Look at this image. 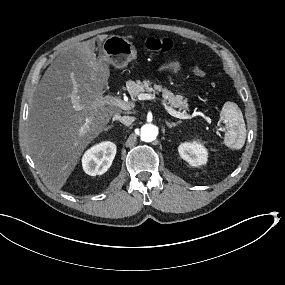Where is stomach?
<instances>
[{"label": "stomach", "mask_w": 285, "mask_h": 285, "mask_svg": "<svg viewBox=\"0 0 285 285\" xmlns=\"http://www.w3.org/2000/svg\"><path fill=\"white\" fill-rule=\"evenodd\" d=\"M104 56L116 68H123L136 59L135 46L125 37L111 35L102 44Z\"/></svg>", "instance_id": "1"}]
</instances>
